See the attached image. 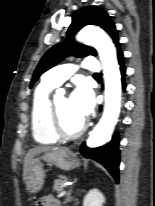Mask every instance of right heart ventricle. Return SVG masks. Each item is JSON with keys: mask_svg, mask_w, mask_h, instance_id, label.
I'll return each instance as SVG.
<instances>
[{"mask_svg": "<svg viewBox=\"0 0 155 206\" xmlns=\"http://www.w3.org/2000/svg\"><path fill=\"white\" fill-rule=\"evenodd\" d=\"M55 85L42 81L36 88L31 106V128L34 139L40 144H52L58 136L50 124V92Z\"/></svg>", "mask_w": 155, "mask_h": 206, "instance_id": "e07e8e85", "label": "right heart ventricle"}]
</instances>
